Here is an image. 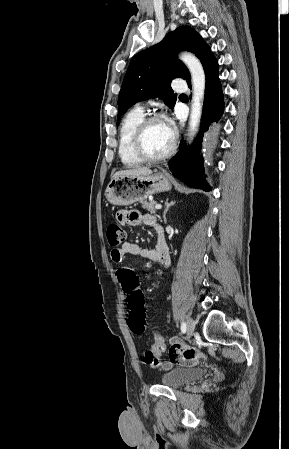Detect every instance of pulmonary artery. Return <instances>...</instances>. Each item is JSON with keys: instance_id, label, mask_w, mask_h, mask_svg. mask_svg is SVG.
<instances>
[{"instance_id": "1", "label": "pulmonary artery", "mask_w": 289, "mask_h": 449, "mask_svg": "<svg viewBox=\"0 0 289 449\" xmlns=\"http://www.w3.org/2000/svg\"><path fill=\"white\" fill-rule=\"evenodd\" d=\"M173 87L175 88V89H183L185 86H184V83H183V81H181V80H179V79H176V80H174L173 81ZM139 108H141V107H139Z\"/></svg>"}]
</instances>
